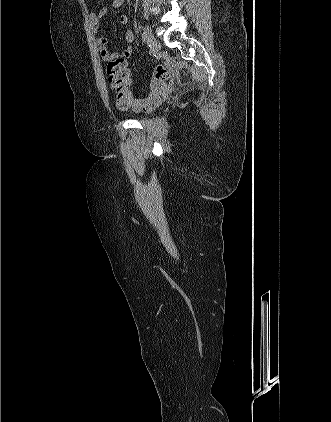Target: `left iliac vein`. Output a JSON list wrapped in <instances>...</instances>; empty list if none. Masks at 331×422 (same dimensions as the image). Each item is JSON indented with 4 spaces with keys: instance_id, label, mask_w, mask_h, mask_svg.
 <instances>
[{
    "instance_id": "4c4485c4",
    "label": "left iliac vein",
    "mask_w": 331,
    "mask_h": 422,
    "mask_svg": "<svg viewBox=\"0 0 331 422\" xmlns=\"http://www.w3.org/2000/svg\"><path fill=\"white\" fill-rule=\"evenodd\" d=\"M148 36H149L148 37L149 46L151 47V49L155 53H158L161 50V44H160V42L151 33H149Z\"/></svg>"
}]
</instances>
